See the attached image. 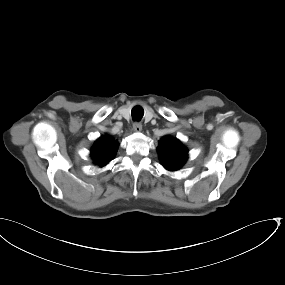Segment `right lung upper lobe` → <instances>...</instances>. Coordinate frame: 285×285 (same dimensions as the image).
Listing matches in <instances>:
<instances>
[{
	"label": "right lung upper lobe",
	"mask_w": 285,
	"mask_h": 285,
	"mask_svg": "<svg viewBox=\"0 0 285 285\" xmlns=\"http://www.w3.org/2000/svg\"><path fill=\"white\" fill-rule=\"evenodd\" d=\"M118 144L110 136H101L91 150L94 163L100 167L110 162L117 151Z\"/></svg>",
	"instance_id": "1"
}]
</instances>
